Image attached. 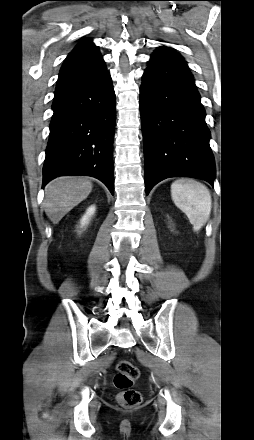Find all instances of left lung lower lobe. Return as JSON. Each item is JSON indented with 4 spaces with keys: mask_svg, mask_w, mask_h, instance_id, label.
<instances>
[{
    "mask_svg": "<svg viewBox=\"0 0 254 440\" xmlns=\"http://www.w3.org/2000/svg\"><path fill=\"white\" fill-rule=\"evenodd\" d=\"M140 112L146 195L169 177H195L213 185L210 131L193 75L183 57L158 48L143 74Z\"/></svg>",
    "mask_w": 254,
    "mask_h": 440,
    "instance_id": "1",
    "label": "left lung lower lobe"
}]
</instances>
